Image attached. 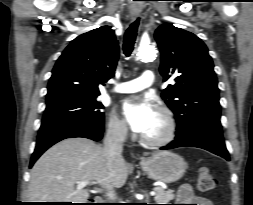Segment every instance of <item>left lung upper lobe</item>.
Segmentation results:
<instances>
[{"label": "left lung upper lobe", "mask_w": 253, "mask_h": 205, "mask_svg": "<svg viewBox=\"0 0 253 205\" xmlns=\"http://www.w3.org/2000/svg\"><path fill=\"white\" fill-rule=\"evenodd\" d=\"M161 51L160 73L174 79L162 93L177 120L176 135L184 137L204 121L220 123L217 78L206 45L196 35L172 24L155 31Z\"/></svg>", "instance_id": "5c2ea615"}]
</instances>
